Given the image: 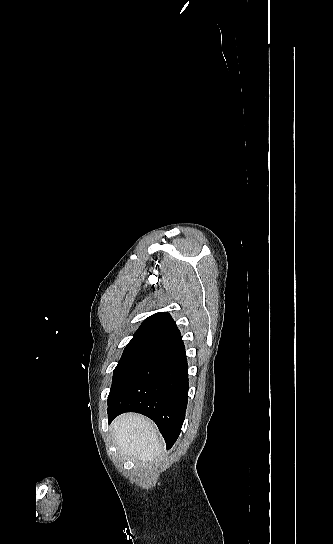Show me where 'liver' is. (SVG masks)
Masks as SVG:
<instances>
[{
	"instance_id": "obj_1",
	"label": "liver",
	"mask_w": 333,
	"mask_h": 544,
	"mask_svg": "<svg viewBox=\"0 0 333 544\" xmlns=\"http://www.w3.org/2000/svg\"><path fill=\"white\" fill-rule=\"evenodd\" d=\"M113 433L120 452L136 461H151L163 452L156 426L141 415L127 413L119 416L113 422Z\"/></svg>"
}]
</instances>
